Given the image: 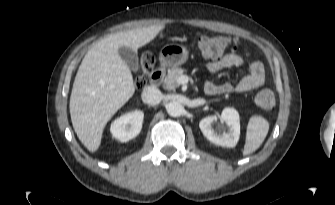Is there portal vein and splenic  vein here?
Segmentation results:
<instances>
[{
	"mask_svg": "<svg viewBox=\"0 0 335 205\" xmlns=\"http://www.w3.org/2000/svg\"><path fill=\"white\" fill-rule=\"evenodd\" d=\"M180 83H186L188 81L186 76H181L178 80Z\"/></svg>",
	"mask_w": 335,
	"mask_h": 205,
	"instance_id": "1",
	"label": "portal vein and splenic vein"
}]
</instances>
